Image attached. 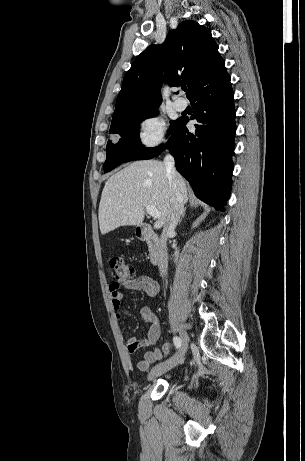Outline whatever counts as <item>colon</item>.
<instances>
[{"label":"colon","instance_id":"obj_1","mask_svg":"<svg viewBox=\"0 0 305 461\" xmlns=\"http://www.w3.org/2000/svg\"><path fill=\"white\" fill-rule=\"evenodd\" d=\"M111 273L117 281H125L134 277V268L122 257L115 256L110 259Z\"/></svg>","mask_w":305,"mask_h":461}]
</instances>
